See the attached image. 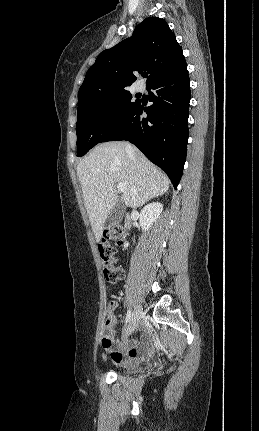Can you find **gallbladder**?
<instances>
[{
  "instance_id": "obj_1",
  "label": "gallbladder",
  "mask_w": 259,
  "mask_h": 431,
  "mask_svg": "<svg viewBox=\"0 0 259 431\" xmlns=\"http://www.w3.org/2000/svg\"><path fill=\"white\" fill-rule=\"evenodd\" d=\"M124 213V204L121 200H118L108 215L104 227L109 229L110 227L118 224L122 218Z\"/></svg>"
}]
</instances>
